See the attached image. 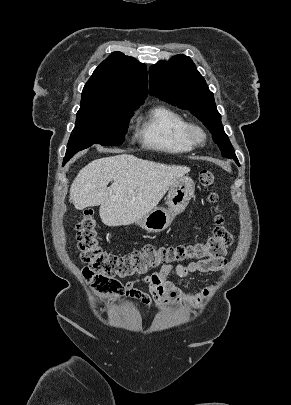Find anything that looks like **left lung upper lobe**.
<instances>
[{
	"label": "left lung upper lobe",
	"instance_id": "obj_1",
	"mask_svg": "<svg viewBox=\"0 0 291 405\" xmlns=\"http://www.w3.org/2000/svg\"><path fill=\"white\" fill-rule=\"evenodd\" d=\"M151 93L181 109H188L210 130L222 155L233 158L235 151L225 134L213 93L197 71L193 61L185 55H176L168 61H159L149 69Z\"/></svg>",
	"mask_w": 291,
	"mask_h": 405
}]
</instances>
